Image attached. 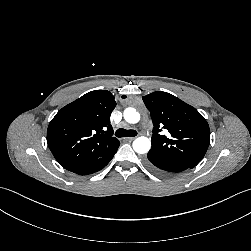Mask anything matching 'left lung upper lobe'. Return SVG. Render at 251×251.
<instances>
[{
  "label": "left lung upper lobe",
  "instance_id": "obj_1",
  "mask_svg": "<svg viewBox=\"0 0 251 251\" xmlns=\"http://www.w3.org/2000/svg\"><path fill=\"white\" fill-rule=\"evenodd\" d=\"M142 99L154 125L149 152L195 167L209 146L207 121L194 107L172 94L157 91ZM160 127L169 132L167 136L159 133Z\"/></svg>",
  "mask_w": 251,
  "mask_h": 251
}]
</instances>
